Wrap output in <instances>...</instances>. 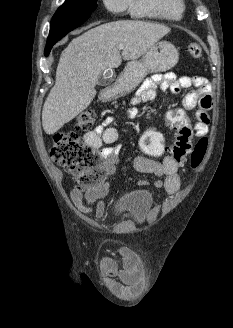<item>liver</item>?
Returning <instances> with one entry per match:
<instances>
[{
    "mask_svg": "<svg viewBox=\"0 0 233 328\" xmlns=\"http://www.w3.org/2000/svg\"><path fill=\"white\" fill-rule=\"evenodd\" d=\"M170 32L164 25L135 20L102 24L73 39L62 52L56 82L42 110L44 131L52 135L85 110L105 69L138 59ZM124 49L120 54L119 45Z\"/></svg>",
    "mask_w": 233,
    "mask_h": 328,
    "instance_id": "obj_1",
    "label": "liver"
}]
</instances>
